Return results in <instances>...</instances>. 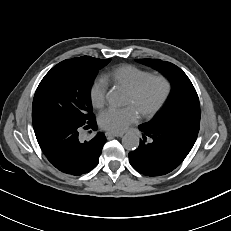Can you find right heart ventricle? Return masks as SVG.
Here are the masks:
<instances>
[{
	"mask_svg": "<svg viewBox=\"0 0 231 231\" xmlns=\"http://www.w3.org/2000/svg\"><path fill=\"white\" fill-rule=\"evenodd\" d=\"M151 73L134 65H122L106 75V79L115 85L129 90Z\"/></svg>",
	"mask_w": 231,
	"mask_h": 231,
	"instance_id": "right-heart-ventricle-1",
	"label": "right heart ventricle"
}]
</instances>
